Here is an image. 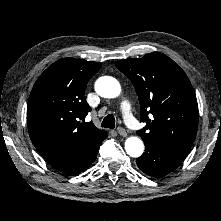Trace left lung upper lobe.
Segmentation results:
<instances>
[{"mask_svg":"<svg viewBox=\"0 0 221 221\" xmlns=\"http://www.w3.org/2000/svg\"><path fill=\"white\" fill-rule=\"evenodd\" d=\"M115 65L131 80L140 101L141 121L146 126L137 134L143 141L189 152L197 132L198 105L184 71L159 52Z\"/></svg>","mask_w":221,"mask_h":221,"instance_id":"left-lung-upper-lobe-1","label":"left lung upper lobe"}]
</instances>
